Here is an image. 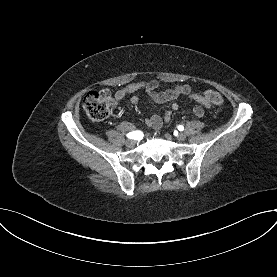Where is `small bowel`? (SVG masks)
I'll use <instances>...</instances> for the list:
<instances>
[{
  "instance_id": "small-bowel-1",
  "label": "small bowel",
  "mask_w": 277,
  "mask_h": 277,
  "mask_svg": "<svg viewBox=\"0 0 277 277\" xmlns=\"http://www.w3.org/2000/svg\"><path fill=\"white\" fill-rule=\"evenodd\" d=\"M158 86L159 84L155 80L127 84L126 86L119 88L114 93L115 105H120V103L128 95H131L138 90L144 89L150 98L157 103L171 102L175 101L180 96H185L190 102L197 103L192 108V113L197 118H201L204 115L203 107L207 109L211 107V102L206 98L205 94L193 91L191 86L187 84L175 85L161 92L157 91ZM131 102L134 105L138 104L139 97L133 96L131 98ZM178 108V103L173 102L171 105V110L167 111L163 117L157 114L152 115L145 120V124L155 130H159L162 127L164 121L169 122L171 120L173 111L178 110ZM122 127L124 129H131L132 124L126 122L123 123Z\"/></svg>"
}]
</instances>
